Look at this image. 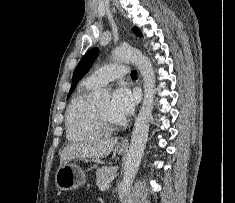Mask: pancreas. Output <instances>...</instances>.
<instances>
[{
  "label": "pancreas",
  "mask_w": 235,
  "mask_h": 203,
  "mask_svg": "<svg viewBox=\"0 0 235 203\" xmlns=\"http://www.w3.org/2000/svg\"><path fill=\"white\" fill-rule=\"evenodd\" d=\"M117 169H118L117 167H106V166L98 168L96 170L97 186L100 187L104 184L109 183L114 177Z\"/></svg>",
  "instance_id": "obj_1"
}]
</instances>
